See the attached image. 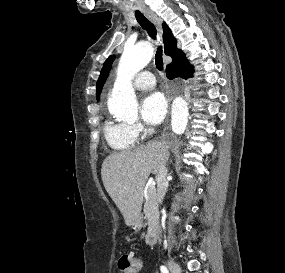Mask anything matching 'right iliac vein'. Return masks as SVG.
<instances>
[{
	"label": "right iliac vein",
	"instance_id": "obj_1",
	"mask_svg": "<svg viewBox=\"0 0 285 273\" xmlns=\"http://www.w3.org/2000/svg\"><path fill=\"white\" fill-rule=\"evenodd\" d=\"M167 264H168V268L170 269L172 273H181L180 266L174 261L168 260Z\"/></svg>",
	"mask_w": 285,
	"mask_h": 273
}]
</instances>
